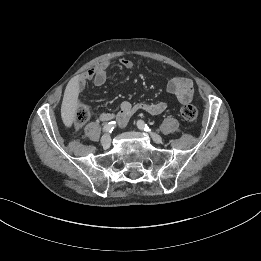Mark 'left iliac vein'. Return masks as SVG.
<instances>
[{"instance_id":"4c4485c4","label":"left iliac vein","mask_w":261,"mask_h":261,"mask_svg":"<svg viewBox=\"0 0 261 261\" xmlns=\"http://www.w3.org/2000/svg\"><path fill=\"white\" fill-rule=\"evenodd\" d=\"M150 136L155 143L160 144L162 142V137L154 132H150Z\"/></svg>"}]
</instances>
